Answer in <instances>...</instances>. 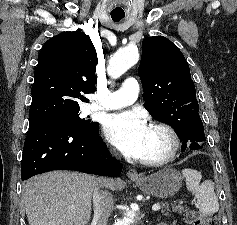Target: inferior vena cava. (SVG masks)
Wrapping results in <instances>:
<instances>
[{
	"label": "inferior vena cava",
	"instance_id": "1",
	"mask_svg": "<svg viewBox=\"0 0 237 225\" xmlns=\"http://www.w3.org/2000/svg\"><path fill=\"white\" fill-rule=\"evenodd\" d=\"M99 184L108 188L107 179L100 178ZM93 204L96 225H107L108 218L114 206L113 198L108 192L101 191L97 187L93 193Z\"/></svg>",
	"mask_w": 237,
	"mask_h": 225
}]
</instances>
